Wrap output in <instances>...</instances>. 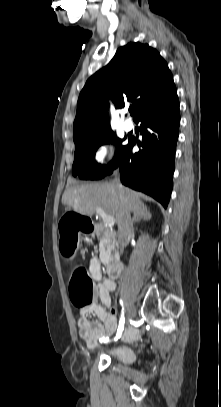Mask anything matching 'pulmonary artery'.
Wrapping results in <instances>:
<instances>
[{"label": "pulmonary artery", "mask_w": 221, "mask_h": 407, "mask_svg": "<svg viewBox=\"0 0 221 407\" xmlns=\"http://www.w3.org/2000/svg\"><path fill=\"white\" fill-rule=\"evenodd\" d=\"M123 128L125 131H131L134 128L133 122L131 120H125L123 123Z\"/></svg>", "instance_id": "pulmonary-artery-1"}]
</instances>
